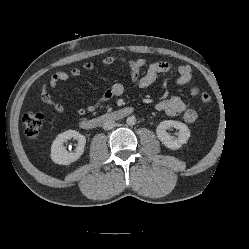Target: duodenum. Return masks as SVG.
Wrapping results in <instances>:
<instances>
[{"instance_id": "duodenum-1", "label": "duodenum", "mask_w": 249, "mask_h": 249, "mask_svg": "<svg viewBox=\"0 0 249 249\" xmlns=\"http://www.w3.org/2000/svg\"><path fill=\"white\" fill-rule=\"evenodd\" d=\"M133 112L134 109L132 107H123L111 112L100 114L96 117L83 119L80 122V127L83 130H92L99 127L101 124H103L106 121L120 120L131 115Z\"/></svg>"}]
</instances>
